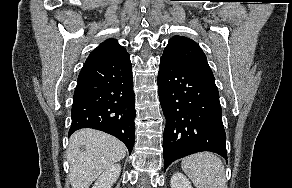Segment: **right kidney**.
Segmentation results:
<instances>
[{
  "label": "right kidney",
  "instance_id": "obj_1",
  "mask_svg": "<svg viewBox=\"0 0 292 188\" xmlns=\"http://www.w3.org/2000/svg\"><path fill=\"white\" fill-rule=\"evenodd\" d=\"M121 172V166L114 164L108 167L96 180L92 188H111V186L117 181Z\"/></svg>",
  "mask_w": 292,
  "mask_h": 188
}]
</instances>
